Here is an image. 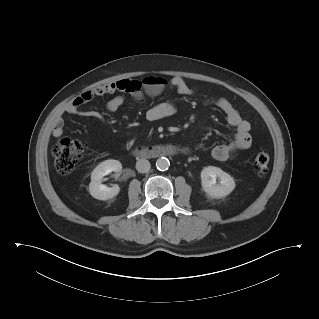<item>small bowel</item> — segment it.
I'll list each match as a JSON object with an SVG mask.
<instances>
[{
    "mask_svg": "<svg viewBox=\"0 0 319 319\" xmlns=\"http://www.w3.org/2000/svg\"><path fill=\"white\" fill-rule=\"evenodd\" d=\"M128 82L129 80H120L91 90H86L67 104L65 112L70 115L94 117L104 121L102 113L97 111H85L82 107L89 103L95 96L119 92V94L111 98L106 105L109 112L114 113L118 111L126 102L125 87ZM169 87L184 96L195 95L193 88L182 77H173L169 82ZM142 96L143 94L139 93L133 97L139 100ZM206 102L220 110L224 114L227 123L235 129L234 139L231 142L215 146L211 151L212 157L217 161H227L232 159L239 151L251 147V125L247 120L241 117L233 104L226 98L207 99ZM174 112L175 107L172 103L166 101L158 102L146 110L145 117L147 120L154 122L170 117ZM63 133L64 128L60 121L53 128L52 134L58 138L61 137Z\"/></svg>",
    "mask_w": 319,
    "mask_h": 319,
    "instance_id": "c3829d8e",
    "label": "small bowel"
}]
</instances>
